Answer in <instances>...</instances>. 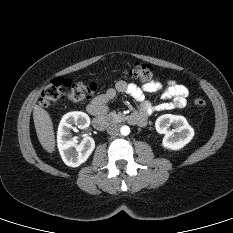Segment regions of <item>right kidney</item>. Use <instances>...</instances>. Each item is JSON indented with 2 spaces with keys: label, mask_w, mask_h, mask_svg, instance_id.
<instances>
[{
  "label": "right kidney",
  "mask_w": 233,
  "mask_h": 233,
  "mask_svg": "<svg viewBox=\"0 0 233 233\" xmlns=\"http://www.w3.org/2000/svg\"><path fill=\"white\" fill-rule=\"evenodd\" d=\"M73 125L79 129L87 128L90 125V118L84 112H69L62 117L58 126L57 146L62 160L70 167H78L93 152L95 141L92 137L86 136L78 144V141L71 136Z\"/></svg>",
  "instance_id": "obj_1"
}]
</instances>
